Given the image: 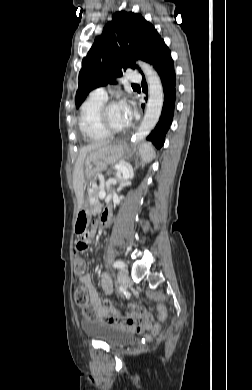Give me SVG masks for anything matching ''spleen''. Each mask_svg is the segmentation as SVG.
Returning a JSON list of instances; mask_svg holds the SVG:
<instances>
[{
  "instance_id": "3e777b00",
  "label": "spleen",
  "mask_w": 252,
  "mask_h": 390,
  "mask_svg": "<svg viewBox=\"0 0 252 390\" xmlns=\"http://www.w3.org/2000/svg\"><path fill=\"white\" fill-rule=\"evenodd\" d=\"M139 153L143 159V161L145 162H150L153 158H154V150L152 149V147L147 144V143H144L140 150H139Z\"/></svg>"
}]
</instances>
